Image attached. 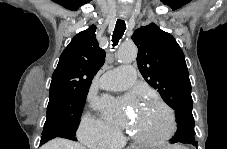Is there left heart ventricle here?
I'll return each mask as SVG.
<instances>
[{
	"instance_id": "1",
	"label": "left heart ventricle",
	"mask_w": 227,
	"mask_h": 149,
	"mask_svg": "<svg viewBox=\"0 0 227 149\" xmlns=\"http://www.w3.org/2000/svg\"><path fill=\"white\" fill-rule=\"evenodd\" d=\"M169 121L166 111L151 102H145L134 115L131 131L142 137H156L164 134L168 129Z\"/></svg>"
}]
</instances>
